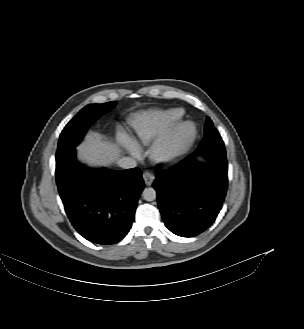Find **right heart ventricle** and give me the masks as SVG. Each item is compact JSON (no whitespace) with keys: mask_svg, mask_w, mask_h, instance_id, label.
I'll return each mask as SVG.
<instances>
[{"mask_svg":"<svg viewBox=\"0 0 304 329\" xmlns=\"http://www.w3.org/2000/svg\"><path fill=\"white\" fill-rule=\"evenodd\" d=\"M183 117L179 108L155 112L141 117L133 123L134 142L139 145H149L162 137Z\"/></svg>","mask_w":304,"mask_h":329,"instance_id":"obj_1","label":"right heart ventricle"}]
</instances>
